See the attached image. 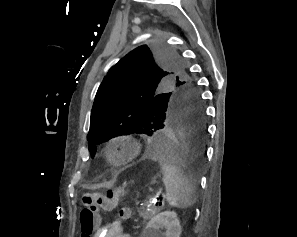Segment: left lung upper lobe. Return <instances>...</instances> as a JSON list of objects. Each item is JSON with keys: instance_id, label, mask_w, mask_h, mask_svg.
I'll return each instance as SVG.
<instances>
[{"instance_id": "5c2ea615", "label": "left lung upper lobe", "mask_w": 297, "mask_h": 237, "mask_svg": "<svg viewBox=\"0 0 297 237\" xmlns=\"http://www.w3.org/2000/svg\"><path fill=\"white\" fill-rule=\"evenodd\" d=\"M203 106L179 54L159 43L143 45L114 65L98 88L87 135L92 157L96 145L132 133L152 134L177 101Z\"/></svg>"}]
</instances>
